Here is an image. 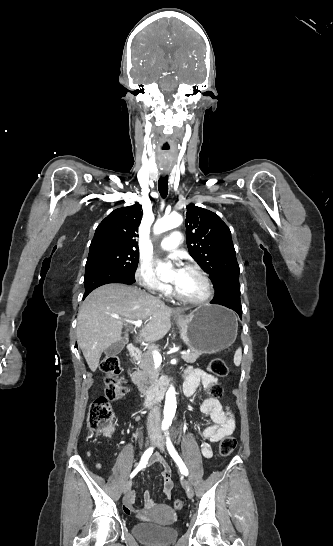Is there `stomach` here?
Masks as SVG:
<instances>
[{
  "label": "stomach",
  "mask_w": 333,
  "mask_h": 546,
  "mask_svg": "<svg viewBox=\"0 0 333 546\" xmlns=\"http://www.w3.org/2000/svg\"><path fill=\"white\" fill-rule=\"evenodd\" d=\"M180 337L192 350L218 353L237 337L238 322L232 311L220 305H205L177 319Z\"/></svg>",
  "instance_id": "stomach-1"
}]
</instances>
